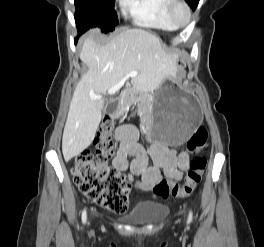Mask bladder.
I'll list each match as a JSON object with an SVG mask.
<instances>
[{"label":"bladder","mask_w":264,"mask_h":247,"mask_svg":"<svg viewBox=\"0 0 264 247\" xmlns=\"http://www.w3.org/2000/svg\"><path fill=\"white\" fill-rule=\"evenodd\" d=\"M167 213L168 207L165 204L144 201L136 204L124 218L138 224H150L162 220Z\"/></svg>","instance_id":"obj_1"}]
</instances>
